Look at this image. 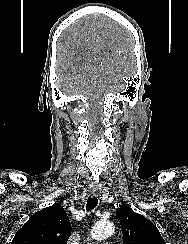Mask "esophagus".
Returning a JSON list of instances; mask_svg holds the SVG:
<instances>
[{"instance_id": "34e87169", "label": "esophagus", "mask_w": 188, "mask_h": 244, "mask_svg": "<svg viewBox=\"0 0 188 244\" xmlns=\"http://www.w3.org/2000/svg\"><path fill=\"white\" fill-rule=\"evenodd\" d=\"M96 194H97V191H95V190L91 191V195L95 196Z\"/></svg>"}]
</instances>
